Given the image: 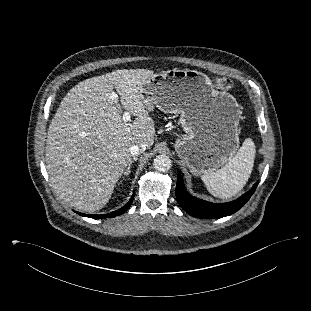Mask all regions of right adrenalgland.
I'll return each instance as SVG.
<instances>
[{
	"mask_svg": "<svg viewBox=\"0 0 311 311\" xmlns=\"http://www.w3.org/2000/svg\"><path fill=\"white\" fill-rule=\"evenodd\" d=\"M137 157H134L131 161H130V163L128 164V167L126 168V170L124 171V176H128L130 173H131V166H132V163L134 162V161H137Z\"/></svg>",
	"mask_w": 311,
	"mask_h": 311,
	"instance_id": "right-adrenal-gland-1",
	"label": "right adrenal gland"
}]
</instances>
